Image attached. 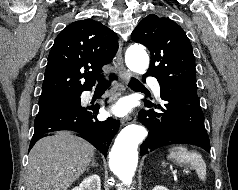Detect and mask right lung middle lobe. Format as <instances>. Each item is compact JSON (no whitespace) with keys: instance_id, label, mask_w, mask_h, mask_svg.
I'll use <instances>...</instances> for the list:
<instances>
[{"instance_id":"1","label":"right lung middle lobe","mask_w":238,"mask_h":190,"mask_svg":"<svg viewBox=\"0 0 238 190\" xmlns=\"http://www.w3.org/2000/svg\"><path fill=\"white\" fill-rule=\"evenodd\" d=\"M80 96L66 97L56 100L39 101V113H45L61 108L74 107L80 105Z\"/></svg>"}]
</instances>
